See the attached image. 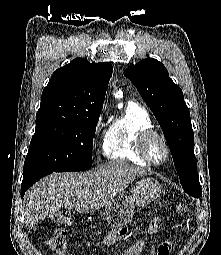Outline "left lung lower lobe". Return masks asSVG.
I'll list each match as a JSON object with an SVG mask.
<instances>
[{
	"label": "left lung lower lobe",
	"instance_id": "obj_1",
	"mask_svg": "<svg viewBox=\"0 0 221 255\" xmlns=\"http://www.w3.org/2000/svg\"><path fill=\"white\" fill-rule=\"evenodd\" d=\"M196 198H199V199H200V201H202V200H201V195H198Z\"/></svg>",
	"mask_w": 221,
	"mask_h": 255
}]
</instances>
